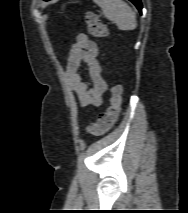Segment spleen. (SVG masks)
Wrapping results in <instances>:
<instances>
[{
    "label": "spleen",
    "mask_w": 188,
    "mask_h": 213,
    "mask_svg": "<svg viewBox=\"0 0 188 213\" xmlns=\"http://www.w3.org/2000/svg\"><path fill=\"white\" fill-rule=\"evenodd\" d=\"M93 2L101 7L104 16L115 22L120 30L136 29V14L123 0H93Z\"/></svg>",
    "instance_id": "spleen-1"
}]
</instances>
